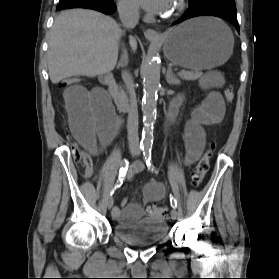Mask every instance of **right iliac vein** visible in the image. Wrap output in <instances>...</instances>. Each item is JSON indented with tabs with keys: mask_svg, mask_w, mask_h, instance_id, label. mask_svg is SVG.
Wrapping results in <instances>:
<instances>
[{
	"mask_svg": "<svg viewBox=\"0 0 279 279\" xmlns=\"http://www.w3.org/2000/svg\"><path fill=\"white\" fill-rule=\"evenodd\" d=\"M134 151H135L134 148H130V152H134ZM113 204H114V198L111 196L107 200L108 209H111L113 207Z\"/></svg>",
	"mask_w": 279,
	"mask_h": 279,
	"instance_id": "right-iliac-vein-1",
	"label": "right iliac vein"
}]
</instances>
